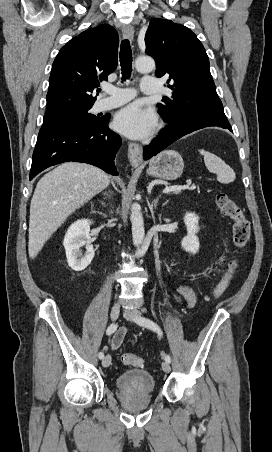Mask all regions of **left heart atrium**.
<instances>
[{"instance_id": "left-heart-atrium-1", "label": "left heart atrium", "mask_w": 272, "mask_h": 452, "mask_svg": "<svg viewBox=\"0 0 272 452\" xmlns=\"http://www.w3.org/2000/svg\"><path fill=\"white\" fill-rule=\"evenodd\" d=\"M155 123L156 115L152 109L132 103L116 114L113 127L127 137L141 139L152 131Z\"/></svg>"}]
</instances>
